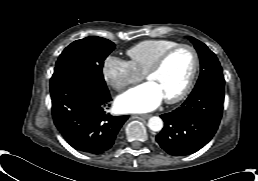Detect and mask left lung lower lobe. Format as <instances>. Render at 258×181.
<instances>
[{"label":"left lung lower lobe","mask_w":258,"mask_h":181,"mask_svg":"<svg viewBox=\"0 0 258 181\" xmlns=\"http://www.w3.org/2000/svg\"><path fill=\"white\" fill-rule=\"evenodd\" d=\"M224 87L210 86L190 94L182 106L162 114L164 128L156 136L159 146L173 156H186L205 146L218 129Z\"/></svg>","instance_id":"obj_1"}]
</instances>
